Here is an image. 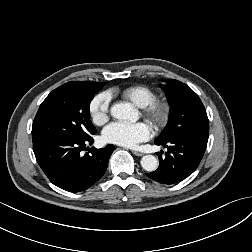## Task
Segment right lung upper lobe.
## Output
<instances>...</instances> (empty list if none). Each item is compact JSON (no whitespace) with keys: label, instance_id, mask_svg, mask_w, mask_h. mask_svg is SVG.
<instances>
[{"label":"right lung upper lobe","instance_id":"obj_1","mask_svg":"<svg viewBox=\"0 0 252 252\" xmlns=\"http://www.w3.org/2000/svg\"><path fill=\"white\" fill-rule=\"evenodd\" d=\"M77 83H80L82 85L89 86V87H99L103 84V83H98V82H93V81H79Z\"/></svg>","mask_w":252,"mask_h":252}]
</instances>
